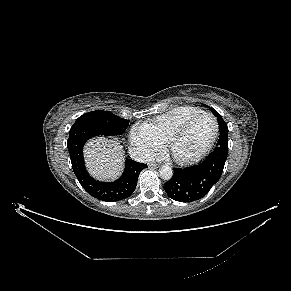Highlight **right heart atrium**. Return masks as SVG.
Masks as SVG:
<instances>
[{
  "label": "right heart atrium",
  "instance_id": "1",
  "mask_svg": "<svg viewBox=\"0 0 291 291\" xmlns=\"http://www.w3.org/2000/svg\"><path fill=\"white\" fill-rule=\"evenodd\" d=\"M131 144L143 155L147 156L159 149V144L148 136L141 127L133 128L130 134Z\"/></svg>",
  "mask_w": 291,
  "mask_h": 291
}]
</instances>
